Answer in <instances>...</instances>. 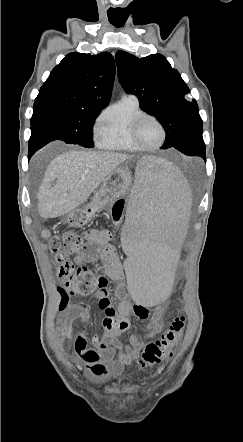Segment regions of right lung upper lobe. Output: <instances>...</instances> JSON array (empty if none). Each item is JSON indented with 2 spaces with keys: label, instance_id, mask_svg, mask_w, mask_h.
I'll use <instances>...</instances> for the list:
<instances>
[{
  "label": "right lung upper lobe",
  "instance_id": "1",
  "mask_svg": "<svg viewBox=\"0 0 243 442\" xmlns=\"http://www.w3.org/2000/svg\"><path fill=\"white\" fill-rule=\"evenodd\" d=\"M114 76L109 52H72L52 70L36 99L57 98L77 108L102 110L109 103Z\"/></svg>",
  "mask_w": 243,
  "mask_h": 442
}]
</instances>
